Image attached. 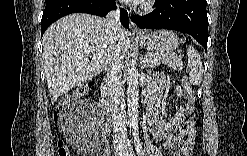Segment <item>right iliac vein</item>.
Returning <instances> with one entry per match:
<instances>
[{
	"label": "right iliac vein",
	"instance_id": "63e3f726",
	"mask_svg": "<svg viewBox=\"0 0 247 156\" xmlns=\"http://www.w3.org/2000/svg\"><path fill=\"white\" fill-rule=\"evenodd\" d=\"M120 151H122L121 145L115 146V152L118 153V152H120Z\"/></svg>",
	"mask_w": 247,
	"mask_h": 156
}]
</instances>
